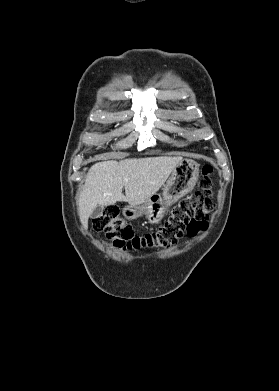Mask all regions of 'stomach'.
Instances as JSON below:
<instances>
[{
    "mask_svg": "<svg viewBox=\"0 0 279 391\" xmlns=\"http://www.w3.org/2000/svg\"><path fill=\"white\" fill-rule=\"evenodd\" d=\"M198 178L199 164L183 159L174 167L162 195L154 194L141 206H126L123 209L124 217L133 220L144 215L150 223L160 222L169 206L193 190Z\"/></svg>",
    "mask_w": 279,
    "mask_h": 391,
    "instance_id": "stomach-1",
    "label": "stomach"
}]
</instances>
